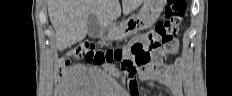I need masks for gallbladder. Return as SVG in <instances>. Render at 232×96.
<instances>
[{
	"label": "gallbladder",
	"mask_w": 232,
	"mask_h": 96,
	"mask_svg": "<svg viewBox=\"0 0 232 96\" xmlns=\"http://www.w3.org/2000/svg\"><path fill=\"white\" fill-rule=\"evenodd\" d=\"M101 25L96 14L91 13L88 17V36L90 38H98L101 33Z\"/></svg>",
	"instance_id": "1"
}]
</instances>
